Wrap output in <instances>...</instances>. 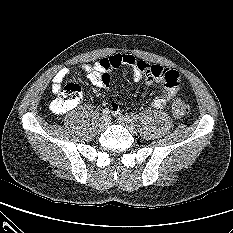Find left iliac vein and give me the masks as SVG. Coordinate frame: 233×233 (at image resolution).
<instances>
[{"label":"left iliac vein","instance_id":"4c4485c4","mask_svg":"<svg viewBox=\"0 0 233 233\" xmlns=\"http://www.w3.org/2000/svg\"><path fill=\"white\" fill-rule=\"evenodd\" d=\"M118 123L125 126L130 132L135 133L136 126L132 119H130L128 116L120 115L117 118Z\"/></svg>","mask_w":233,"mask_h":233}]
</instances>
